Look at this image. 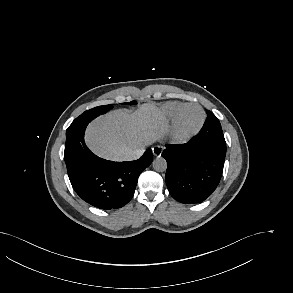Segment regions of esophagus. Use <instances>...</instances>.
Listing matches in <instances>:
<instances>
[{"mask_svg":"<svg viewBox=\"0 0 293 293\" xmlns=\"http://www.w3.org/2000/svg\"><path fill=\"white\" fill-rule=\"evenodd\" d=\"M152 152H153V155L155 156V157H160L161 156V154H162V152H163V147L162 146H154L153 148H152Z\"/></svg>","mask_w":293,"mask_h":293,"instance_id":"1","label":"esophagus"}]
</instances>
